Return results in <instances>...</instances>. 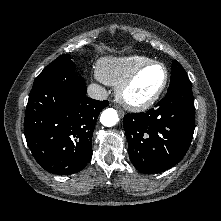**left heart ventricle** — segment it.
Wrapping results in <instances>:
<instances>
[{
    "label": "left heart ventricle",
    "mask_w": 221,
    "mask_h": 221,
    "mask_svg": "<svg viewBox=\"0 0 221 221\" xmlns=\"http://www.w3.org/2000/svg\"><path fill=\"white\" fill-rule=\"evenodd\" d=\"M164 71L160 66L146 69L135 82L129 94L135 99H144L153 94L161 85Z\"/></svg>",
    "instance_id": "b2bd125f"
}]
</instances>
